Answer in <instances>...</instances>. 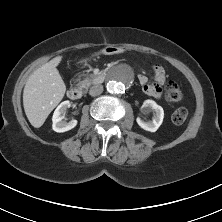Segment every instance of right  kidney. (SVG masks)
<instances>
[{
    "mask_svg": "<svg viewBox=\"0 0 222 222\" xmlns=\"http://www.w3.org/2000/svg\"><path fill=\"white\" fill-rule=\"evenodd\" d=\"M70 106L71 103L69 101H64L54 111L52 117V128L55 132H66L77 125V120L75 119H72L69 122L66 121V110L70 108Z\"/></svg>",
    "mask_w": 222,
    "mask_h": 222,
    "instance_id": "right-kidney-1",
    "label": "right kidney"
}]
</instances>
